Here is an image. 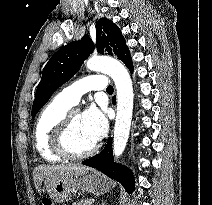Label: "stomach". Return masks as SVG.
<instances>
[{
    "mask_svg": "<svg viewBox=\"0 0 212 205\" xmlns=\"http://www.w3.org/2000/svg\"><path fill=\"white\" fill-rule=\"evenodd\" d=\"M44 190L53 201L63 203L68 201L76 190L87 191L97 196L102 195L110 190V182L98 173L48 176L44 180Z\"/></svg>",
    "mask_w": 212,
    "mask_h": 205,
    "instance_id": "obj_1",
    "label": "stomach"
}]
</instances>
